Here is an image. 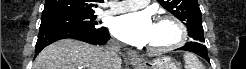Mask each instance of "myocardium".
I'll return each instance as SVG.
<instances>
[{
    "mask_svg": "<svg viewBox=\"0 0 246 69\" xmlns=\"http://www.w3.org/2000/svg\"><path fill=\"white\" fill-rule=\"evenodd\" d=\"M166 21L171 23L177 31V38L167 45H148V48L153 51H167L181 47L187 40V30L184 24L175 16L170 14H163L155 19V22Z\"/></svg>",
    "mask_w": 246,
    "mask_h": 69,
    "instance_id": "myocardium-1",
    "label": "myocardium"
}]
</instances>
